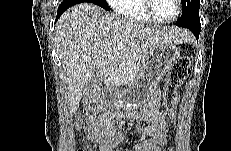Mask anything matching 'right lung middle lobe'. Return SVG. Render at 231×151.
Returning <instances> with one entry per match:
<instances>
[{
	"mask_svg": "<svg viewBox=\"0 0 231 151\" xmlns=\"http://www.w3.org/2000/svg\"><path fill=\"white\" fill-rule=\"evenodd\" d=\"M82 1L94 3V4H96V5L100 6V7H102L103 9H105V10H107V11L110 10V8H109V6H108L106 0H82Z\"/></svg>",
	"mask_w": 231,
	"mask_h": 151,
	"instance_id": "obj_1",
	"label": "right lung middle lobe"
}]
</instances>
